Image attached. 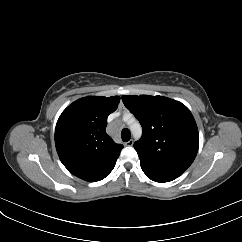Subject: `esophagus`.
<instances>
[{
  "label": "esophagus",
  "mask_w": 242,
  "mask_h": 242,
  "mask_svg": "<svg viewBox=\"0 0 242 242\" xmlns=\"http://www.w3.org/2000/svg\"><path fill=\"white\" fill-rule=\"evenodd\" d=\"M133 140L131 139V140H129V141H127L126 143H125V146H132L133 145Z\"/></svg>",
  "instance_id": "obj_1"
}]
</instances>
